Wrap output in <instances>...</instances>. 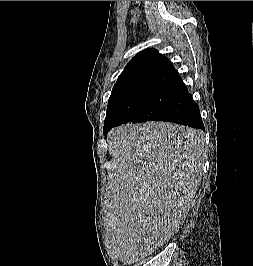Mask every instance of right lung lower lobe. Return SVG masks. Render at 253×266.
Listing matches in <instances>:
<instances>
[{
    "instance_id": "1",
    "label": "right lung lower lobe",
    "mask_w": 253,
    "mask_h": 266,
    "mask_svg": "<svg viewBox=\"0 0 253 266\" xmlns=\"http://www.w3.org/2000/svg\"><path fill=\"white\" fill-rule=\"evenodd\" d=\"M158 120L188 125L193 128L204 130L199 107L193 100L192 95L188 92L187 87L182 80L174 86L170 105L166 113ZM122 123L124 122H114L105 126L104 134L106 135L110 129Z\"/></svg>"
}]
</instances>
